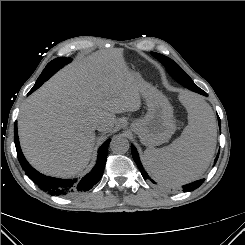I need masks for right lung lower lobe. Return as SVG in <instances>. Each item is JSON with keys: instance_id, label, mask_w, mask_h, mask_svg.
<instances>
[{"instance_id": "98d812e1", "label": "right lung lower lobe", "mask_w": 245, "mask_h": 245, "mask_svg": "<svg viewBox=\"0 0 245 245\" xmlns=\"http://www.w3.org/2000/svg\"><path fill=\"white\" fill-rule=\"evenodd\" d=\"M52 72H47L40 75L37 79L34 87L28 93L31 94L33 91L38 89L46 80L52 76ZM14 141L17 151V157L22 166V169L26 172V175L36 183L41 189L47 191L51 195H73L79 192H84L93 187L102 177L110 140H107L98 150V159L93 167L92 171L88 173L81 180L73 179H57L53 177L45 176L36 171L25 159L19 144V138L17 133V122L14 124Z\"/></svg>"}]
</instances>
